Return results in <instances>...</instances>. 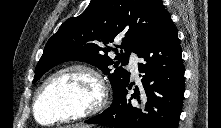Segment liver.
<instances>
[{"label":"liver","instance_id":"liver-1","mask_svg":"<svg viewBox=\"0 0 221 128\" xmlns=\"http://www.w3.org/2000/svg\"><path fill=\"white\" fill-rule=\"evenodd\" d=\"M69 128H89V126L76 124V125H72Z\"/></svg>","mask_w":221,"mask_h":128}]
</instances>
